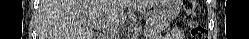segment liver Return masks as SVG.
Wrapping results in <instances>:
<instances>
[{"label": "liver", "instance_id": "1", "mask_svg": "<svg viewBox=\"0 0 249 39\" xmlns=\"http://www.w3.org/2000/svg\"><path fill=\"white\" fill-rule=\"evenodd\" d=\"M126 0H41L39 39H95L94 29L118 27Z\"/></svg>", "mask_w": 249, "mask_h": 39}]
</instances>
